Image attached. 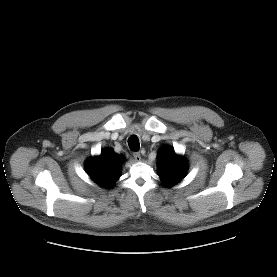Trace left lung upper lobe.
Returning a JSON list of instances; mask_svg holds the SVG:
<instances>
[{"label": "left lung upper lobe", "instance_id": "5c2ea615", "mask_svg": "<svg viewBox=\"0 0 277 277\" xmlns=\"http://www.w3.org/2000/svg\"><path fill=\"white\" fill-rule=\"evenodd\" d=\"M158 157V174L166 186L170 187L185 177L187 163L173 148H162Z\"/></svg>", "mask_w": 277, "mask_h": 277}]
</instances>
